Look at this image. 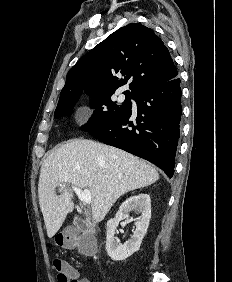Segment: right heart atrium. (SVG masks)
<instances>
[{"mask_svg":"<svg viewBox=\"0 0 232 282\" xmlns=\"http://www.w3.org/2000/svg\"><path fill=\"white\" fill-rule=\"evenodd\" d=\"M87 118V113L85 111H82L78 114L76 121L77 123H83Z\"/></svg>","mask_w":232,"mask_h":282,"instance_id":"1","label":"right heart atrium"}]
</instances>
